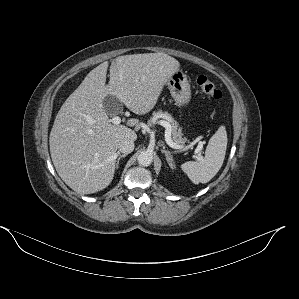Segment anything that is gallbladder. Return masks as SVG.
I'll return each instance as SVG.
<instances>
[{"label":"gallbladder","mask_w":299,"mask_h":299,"mask_svg":"<svg viewBox=\"0 0 299 299\" xmlns=\"http://www.w3.org/2000/svg\"><path fill=\"white\" fill-rule=\"evenodd\" d=\"M122 103L112 95H107L103 100L104 110L108 115H116L122 112Z\"/></svg>","instance_id":"gallbladder-1"}]
</instances>
